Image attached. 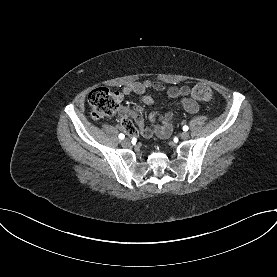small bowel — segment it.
Instances as JSON below:
<instances>
[{
    "instance_id": "c3829d8e",
    "label": "small bowel",
    "mask_w": 277,
    "mask_h": 277,
    "mask_svg": "<svg viewBox=\"0 0 277 277\" xmlns=\"http://www.w3.org/2000/svg\"><path fill=\"white\" fill-rule=\"evenodd\" d=\"M150 89L156 91H163L165 87L160 82H153L150 80L135 81L127 84L122 89L121 95L126 96L131 93H134L141 96V101L144 104L152 105L154 103V99L147 94V91ZM166 92L168 97L178 99L177 107H181L186 112L191 114L197 113L199 111L198 103L190 97V88L188 86H172L168 88ZM121 115L123 117V126L126 130L127 127L125 122H130L129 118H132L139 128L140 134L145 138H150L154 135L160 138H167L172 133L176 118L173 112L159 113L157 111H153L149 115L150 125L145 126L142 115L140 113L135 112L131 108H124L121 111ZM132 128V131H127L130 134L134 135L137 131L133 125Z\"/></svg>"
}]
</instances>
